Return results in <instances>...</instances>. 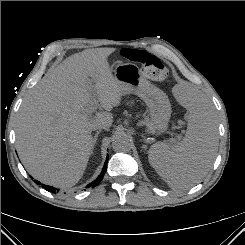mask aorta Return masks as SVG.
Here are the masks:
<instances>
[{"label": "aorta", "mask_w": 245, "mask_h": 245, "mask_svg": "<svg viewBox=\"0 0 245 245\" xmlns=\"http://www.w3.org/2000/svg\"><path fill=\"white\" fill-rule=\"evenodd\" d=\"M112 147L117 152H128L131 150V142L127 136L118 135L113 140Z\"/></svg>", "instance_id": "obj_1"}]
</instances>
